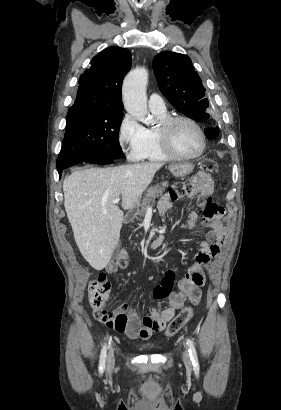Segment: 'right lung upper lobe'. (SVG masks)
<instances>
[{
    "label": "right lung upper lobe",
    "instance_id": "cb5924a9",
    "mask_svg": "<svg viewBox=\"0 0 281 410\" xmlns=\"http://www.w3.org/2000/svg\"><path fill=\"white\" fill-rule=\"evenodd\" d=\"M131 63V53L125 48L109 47L101 51L81 75L73 106L122 111L121 87Z\"/></svg>",
    "mask_w": 281,
    "mask_h": 410
}]
</instances>
